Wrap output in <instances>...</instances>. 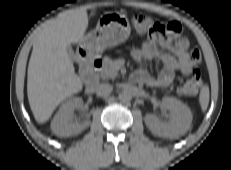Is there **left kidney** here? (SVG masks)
<instances>
[{"label": "left kidney", "mask_w": 231, "mask_h": 170, "mask_svg": "<svg viewBox=\"0 0 231 170\" xmlns=\"http://www.w3.org/2000/svg\"><path fill=\"white\" fill-rule=\"evenodd\" d=\"M162 105L170 111V120L161 122L155 114H146L144 121L150 131L160 137L178 138L184 135L192 123L189 107L174 97H164Z\"/></svg>", "instance_id": "5707ae66"}]
</instances>
